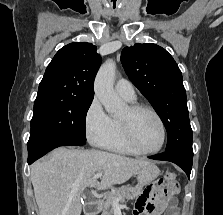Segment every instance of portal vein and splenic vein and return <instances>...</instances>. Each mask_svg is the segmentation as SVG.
I'll return each instance as SVG.
<instances>
[{
    "label": "portal vein and splenic vein",
    "mask_w": 223,
    "mask_h": 215,
    "mask_svg": "<svg viewBox=\"0 0 223 215\" xmlns=\"http://www.w3.org/2000/svg\"><path fill=\"white\" fill-rule=\"evenodd\" d=\"M102 173H96V175H93V179L94 181H97L98 177H101ZM121 197H115V199H113L112 201V205L114 207V209H120L121 205L119 203Z\"/></svg>",
    "instance_id": "18ae733b"
}]
</instances>
